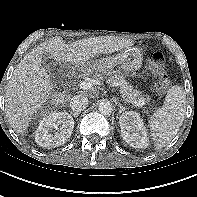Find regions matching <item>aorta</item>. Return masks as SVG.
<instances>
[{"instance_id": "obj_1", "label": "aorta", "mask_w": 197, "mask_h": 197, "mask_svg": "<svg viewBox=\"0 0 197 197\" xmlns=\"http://www.w3.org/2000/svg\"><path fill=\"white\" fill-rule=\"evenodd\" d=\"M98 110L102 115L109 116L113 112V106L109 101L103 100L99 103Z\"/></svg>"}]
</instances>
